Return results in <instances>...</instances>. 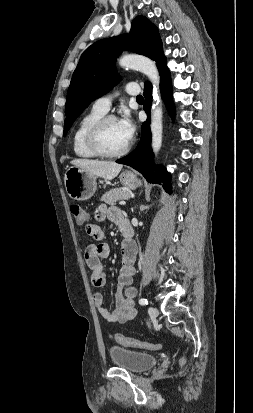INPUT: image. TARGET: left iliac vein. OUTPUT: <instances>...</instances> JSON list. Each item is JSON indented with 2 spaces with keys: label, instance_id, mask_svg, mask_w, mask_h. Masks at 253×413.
Wrapping results in <instances>:
<instances>
[{
  "label": "left iliac vein",
  "instance_id": "left-iliac-vein-1",
  "mask_svg": "<svg viewBox=\"0 0 253 413\" xmlns=\"http://www.w3.org/2000/svg\"><path fill=\"white\" fill-rule=\"evenodd\" d=\"M149 314L151 317L156 318L158 316V310L155 307H149Z\"/></svg>",
  "mask_w": 253,
  "mask_h": 413
}]
</instances>
